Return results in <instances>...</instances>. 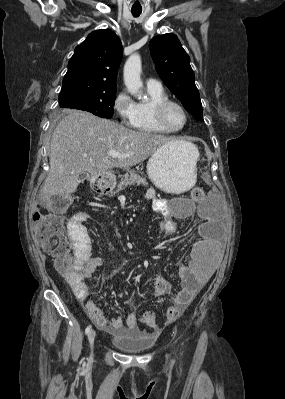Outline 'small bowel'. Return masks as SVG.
<instances>
[{"label":"small bowel","instance_id":"small-bowel-1","mask_svg":"<svg viewBox=\"0 0 285 399\" xmlns=\"http://www.w3.org/2000/svg\"><path fill=\"white\" fill-rule=\"evenodd\" d=\"M146 199L152 202L153 208L162 216L161 230L167 236L174 235L177 232V224L174 218H189L193 213L181 212L179 200H176L172 207L163 198H157L153 189H148L145 195ZM197 214L203 219L205 226L200 230L199 240L190 247V260L187 264H179L177 266L181 289L172 297V302L180 310H183L192 301L194 296L204 286L218 261V246L212 240L211 234L213 220L210 217L209 207H201ZM83 216L72 217L67 222L68 236L76 250V266L81 271V275L77 279L70 281L76 296L84 302L86 312L93 323L101 330L112 334L121 335L127 332H135L138 330L137 316L134 312H130L123 319L119 316L108 318L102 310L92 301L87 299V291L83 280L92 276L94 271L103 264L100 257L83 258L78 252L80 241V223ZM153 294L161 297L167 293L170 281L164 274H157L153 279ZM135 302L131 305L135 306ZM174 319L168 318V323ZM154 331H158L157 327H151Z\"/></svg>","mask_w":285,"mask_h":399}]
</instances>
